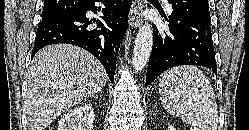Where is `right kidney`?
Wrapping results in <instances>:
<instances>
[{"label": "right kidney", "mask_w": 249, "mask_h": 130, "mask_svg": "<svg viewBox=\"0 0 249 130\" xmlns=\"http://www.w3.org/2000/svg\"><path fill=\"white\" fill-rule=\"evenodd\" d=\"M94 116V110L90 104L76 107L61 118L58 130H92Z\"/></svg>", "instance_id": "ca27d5eb"}]
</instances>
